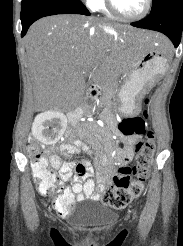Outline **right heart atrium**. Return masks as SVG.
<instances>
[{"label": "right heart atrium", "mask_w": 183, "mask_h": 246, "mask_svg": "<svg viewBox=\"0 0 183 246\" xmlns=\"http://www.w3.org/2000/svg\"><path fill=\"white\" fill-rule=\"evenodd\" d=\"M90 9H94L99 0H83Z\"/></svg>", "instance_id": "d8ad5b80"}]
</instances>
